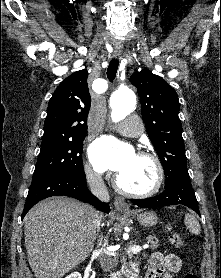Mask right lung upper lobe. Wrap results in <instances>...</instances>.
<instances>
[{
	"mask_svg": "<svg viewBox=\"0 0 221 278\" xmlns=\"http://www.w3.org/2000/svg\"><path fill=\"white\" fill-rule=\"evenodd\" d=\"M88 73L77 71L55 90L48 104L42 142L86 135L91 97Z\"/></svg>",
	"mask_w": 221,
	"mask_h": 278,
	"instance_id": "cb5924a9",
	"label": "right lung upper lobe"
}]
</instances>
